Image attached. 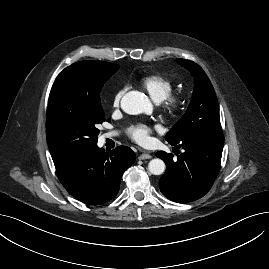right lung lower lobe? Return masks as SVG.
I'll list each match as a JSON object with an SVG mask.
<instances>
[{"instance_id": "right-lung-lower-lobe-1", "label": "right lung lower lobe", "mask_w": 269, "mask_h": 269, "mask_svg": "<svg viewBox=\"0 0 269 269\" xmlns=\"http://www.w3.org/2000/svg\"><path fill=\"white\" fill-rule=\"evenodd\" d=\"M136 159L127 146L105 152L96 145L54 160L58 178L76 199L99 205L114 198L124 171Z\"/></svg>"}]
</instances>
